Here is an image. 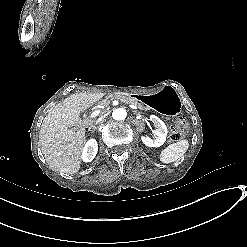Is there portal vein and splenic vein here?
Listing matches in <instances>:
<instances>
[{
  "instance_id": "obj_1",
  "label": "portal vein and splenic vein",
  "mask_w": 247,
  "mask_h": 247,
  "mask_svg": "<svg viewBox=\"0 0 247 247\" xmlns=\"http://www.w3.org/2000/svg\"><path fill=\"white\" fill-rule=\"evenodd\" d=\"M130 108L134 109V110H139V107L137 106H133V105H130ZM103 113V108H97L95 109L94 111H91L89 113V116L91 118H96L98 115L102 114Z\"/></svg>"
}]
</instances>
